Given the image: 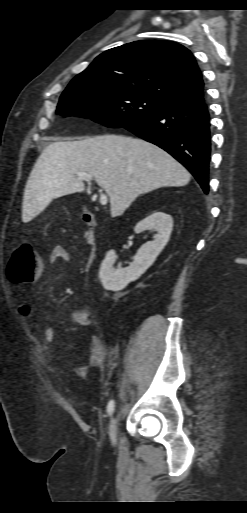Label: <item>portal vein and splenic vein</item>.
Wrapping results in <instances>:
<instances>
[{
    "mask_svg": "<svg viewBox=\"0 0 247 513\" xmlns=\"http://www.w3.org/2000/svg\"><path fill=\"white\" fill-rule=\"evenodd\" d=\"M77 176L79 179H86V180H92V175L84 172H78ZM100 203L101 205L107 204V196L100 192Z\"/></svg>",
    "mask_w": 247,
    "mask_h": 513,
    "instance_id": "obj_1",
    "label": "portal vein and splenic vein"
}]
</instances>
